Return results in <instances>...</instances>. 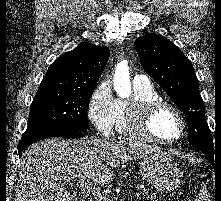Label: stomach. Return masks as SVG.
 Listing matches in <instances>:
<instances>
[{
	"label": "stomach",
	"mask_w": 221,
	"mask_h": 201,
	"mask_svg": "<svg viewBox=\"0 0 221 201\" xmlns=\"http://www.w3.org/2000/svg\"><path fill=\"white\" fill-rule=\"evenodd\" d=\"M139 170L143 178L160 192H170L181 183L182 171L165 151L146 155Z\"/></svg>",
	"instance_id": "0dacf381"
}]
</instances>
